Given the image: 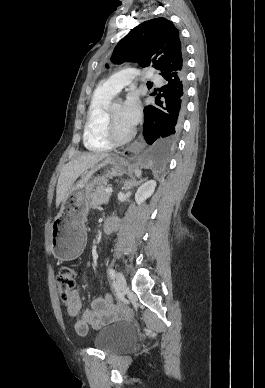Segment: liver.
<instances>
[{
	"label": "liver",
	"instance_id": "liver-1",
	"mask_svg": "<svg viewBox=\"0 0 265 388\" xmlns=\"http://www.w3.org/2000/svg\"><path fill=\"white\" fill-rule=\"evenodd\" d=\"M110 154H101V152H90V154H82L74 160H70L66 166H63L56 190V208H59L61 202L66 200L68 192L72 190L74 182L77 178L92 168L94 164H98L104 158H109Z\"/></svg>",
	"mask_w": 265,
	"mask_h": 388
}]
</instances>
